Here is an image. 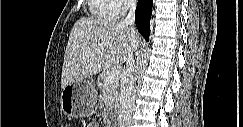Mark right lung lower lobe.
Wrapping results in <instances>:
<instances>
[{"mask_svg": "<svg viewBox=\"0 0 243 127\" xmlns=\"http://www.w3.org/2000/svg\"><path fill=\"white\" fill-rule=\"evenodd\" d=\"M153 0H139L135 11V23L138 31L149 41L150 19Z\"/></svg>", "mask_w": 243, "mask_h": 127, "instance_id": "obj_1", "label": "right lung lower lobe"}]
</instances>
